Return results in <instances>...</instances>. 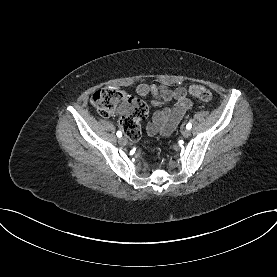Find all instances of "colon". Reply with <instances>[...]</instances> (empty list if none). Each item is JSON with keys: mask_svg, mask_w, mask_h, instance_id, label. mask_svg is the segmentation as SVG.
I'll use <instances>...</instances> for the list:
<instances>
[{"mask_svg": "<svg viewBox=\"0 0 277 277\" xmlns=\"http://www.w3.org/2000/svg\"><path fill=\"white\" fill-rule=\"evenodd\" d=\"M188 92L203 101L211 98L210 91L203 85H191ZM91 103L104 117L120 112V125L132 139L138 136L140 131L139 122L148 113V108L144 102L115 88L98 89L92 94Z\"/></svg>", "mask_w": 277, "mask_h": 277, "instance_id": "colon-1", "label": "colon"}]
</instances>
